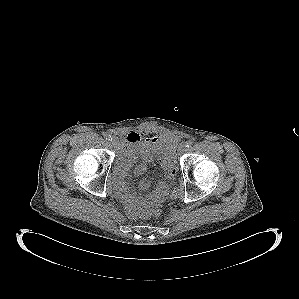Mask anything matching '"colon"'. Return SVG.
<instances>
[{
	"label": "colon",
	"instance_id": "1",
	"mask_svg": "<svg viewBox=\"0 0 299 299\" xmlns=\"http://www.w3.org/2000/svg\"><path fill=\"white\" fill-rule=\"evenodd\" d=\"M174 172H177V167L173 168ZM180 195V190L175 188L172 190L170 197L172 199L178 198ZM126 214L133 219L137 218H149V217H159L161 215V210L159 208L155 209H145L136 204H127L124 207Z\"/></svg>",
	"mask_w": 299,
	"mask_h": 299
}]
</instances>
